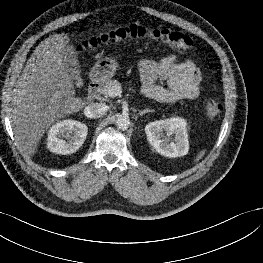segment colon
I'll return each mask as SVG.
<instances>
[{"label": "colon", "instance_id": "1", "mask_svg": "<svg viewBox=\"0 0 263 263\" xmlns=\"http://www.w3.org/2000/svg\"><path fill=\"white\" fill-rule=\"evenodd\" d=\"M128 38H149L163 42L179 52H186L192 46V40L184 33L168 28H146L138 24L122 25L109 29L84 40L80 50H89L100 45L117 42ZM222 105L215 99H208L204 104V114L208 120L214 121L221 113Z\"/></svg>", "mask_w": 263, "mask_h": 263}]
</instances>
